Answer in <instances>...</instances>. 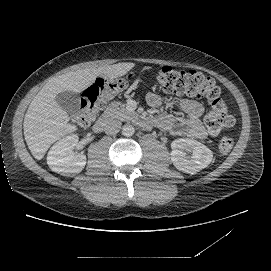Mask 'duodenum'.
<instances>
[{"mask_svg":"<svg viewBox=\"0 0 271 271\" xmlns=\"http://www.w3.org/2000/svg\"><path fill=\"white\" fill-rule=\"evenodd\" d=\"M96 132L113 133L116 130V124L112 121L109 115H102L94 124Z\"/></svg>","mask_w":271,"mask_h":271,"instance_id":"1","label":"duodenum"}]
</instances>
